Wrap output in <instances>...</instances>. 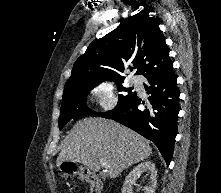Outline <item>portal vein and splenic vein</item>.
I'll return each mask as SVG.
<instances>
[{
    "instance_id": "18ae733b",
    "label": "portal vein and splenic vein",
    "mask_w": 221,
    "mask_h": 193,
    "mask_svg": "<svg viewBox=\"0 0 221 193\" xmlns=\"http://www.w3.org/2000/svg\"><path fill=\"white\" fill-rule=\"evenodd\" d=\"M99 163L105 167L106 169L110 168V165L108 164V162L106 160H100Z\"/></svg>"
}]
</instances>
